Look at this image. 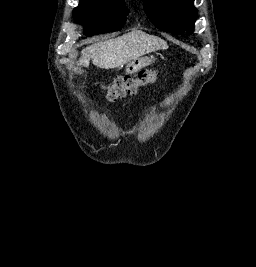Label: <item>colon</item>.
Masks as SVG:
<instances>
[{"instance_id": "5ec220e1", "label": "colon", "mask_w": 256, "mask_h": 267, "mask_svg": "<svg viewBox=\"0 0 256 267\" xmlns=\"http://www.w3.org/2000/svg\"><path fill=\"white\" fill-rule=\"evenodd\" d=\"M155 80L156 73L154 71L139 69L136 75L119 77L110 85L105 86V94L108 100L133 95L139 87L151 85Z\"/></svg>"}]
</instances>
